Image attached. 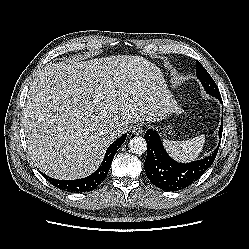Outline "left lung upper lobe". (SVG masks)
I'll return each mask as SVG.
<instances>
[{
  "mask_svg": "<svg viewBox=\"0 0 249 249\" xmlns=\"http://www.w3.org/2000/svg\"><path fill=\"white\" fill-rule=\"evenodd\" d=\"M196 65V76L201 81L205 91L213 97H221L219 89L209 73L205 70L200 62L197 61Z\"/></svg>",
  "mask_w": 249,
  "mask_h": 249,
  "instance_id": "left-lung-upper-lobe-1",
  "label": "left lung upper lobe"
}]
</instances>
